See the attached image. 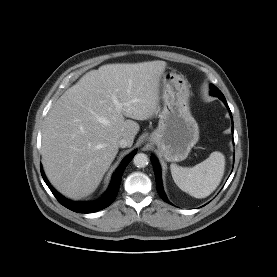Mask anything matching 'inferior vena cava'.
Here are the masks:
<instances>
[{"label":"inferior vena cava","instance_id":"1","mask_svg":"<svg viewBox=\"0 0 277 277\" xmlns=\"http://www.w3.org/2000/svg\"><path fill=\"white\" fill-rule=\"evenodd\" d=\"M118 146L121 148H125L127 146H130V142L126 138H122L118 141Z\"/></svg>","mask_w":277,"mask_h":277}]
</instances>
